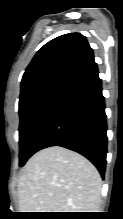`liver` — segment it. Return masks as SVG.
Wrapping results in <instances>:
<instances>
[{
    "mask_svg": "<svg viewBox=\"0 0 123 219\" xmlns=\"http://www.w3.org/2000/svg\"><path fill=\"white\" fill-rule=\"evenodd\" d=\"M102 180L82 155L52 146L34 154L18 181L21 212H99Z\"/></svg>",
    "mask_w": 123,
    "mask_h": 219,
    "instance_id": "obj_1",
    "label": "liver"
}]
</instances>
